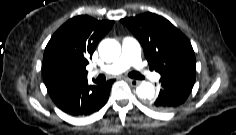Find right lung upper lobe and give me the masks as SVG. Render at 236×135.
<instances>
[{"label": "right lung upper lobe", "mask_w": 236, "mask_h": 135, "mask_svg": "<svg viewBox=\"0 0 236 135\" xmlns=\"http://www.w3.org/2000/svg\"><path fill=\"white\" fill-rule=\"evenodd\" d=\"M113 23L114 21H98L86 15L68 20L48 42L43 56V69L62 63L79 75H87L88 59Z\"/></svg>", "instance_id": "1"}]
</instances>
